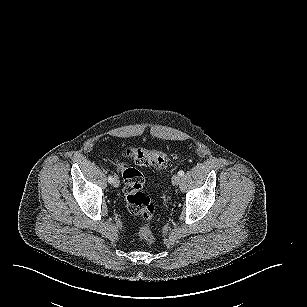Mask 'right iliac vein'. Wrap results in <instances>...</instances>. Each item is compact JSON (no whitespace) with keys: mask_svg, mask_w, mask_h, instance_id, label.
Here are the masks:
<instances>
[{"mask_svg":"<svg viewBox=\"0 0 307 307\" xmlns=\"http://www.w3.org/2000/svg\"><path fill=\"white\" fill-rule=\"evenodd\" d=\"M113 186L115 188H118L120 186V181L117 175H114V179H113Z\"/></svg>","mask_w":307,"mask_h":307,"instance_id":"63e3f726","label":"right iliac vein"}]
</instances>
